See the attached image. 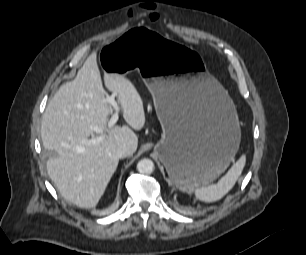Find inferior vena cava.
I'll list each match as a JSON object with an SVG mask.
<instances>
[{"mask_svg":"<svg viewBox=\"0 0 306 255\" xmlns=\"http://www.w3.org/2000/svg\"><path fill=\"white\" fill-rule=\"evenodd\" d=\"M133 153V149L130 145L124 144L117 148L116 155L118 158H125Z\"/></svg>","mask_w":306,"mask_h":255,"instance_id":"inferior-vena-cava-1","label":"inferior vena cava"}]
</instances>
